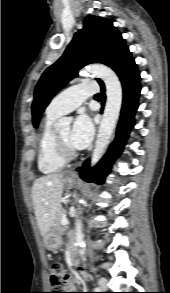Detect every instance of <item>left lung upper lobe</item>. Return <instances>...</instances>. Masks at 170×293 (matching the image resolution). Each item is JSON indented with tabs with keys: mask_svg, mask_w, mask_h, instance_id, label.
<instances>
[{
	"mask_svg": "<svg viewBox=\"0 0 170 293\" xmlns=\"http://www.w3.org/2000/svg\"><path fill=\"white\" fill-rule=\"evenodd\" d=\"M126 50L125 40L111 19L87 16L83 29L75 33L63 55L44 71L35 87L32 104L34 127L38 126L51 98L78 75L80 68L90 63L112 67Z\"/></svg>",
	"mask_w": 170,
	"mask_h": 293,
	"instance_id": "5c2ea615",
	"label": "left lung upper lobe"
}]
</instances>
